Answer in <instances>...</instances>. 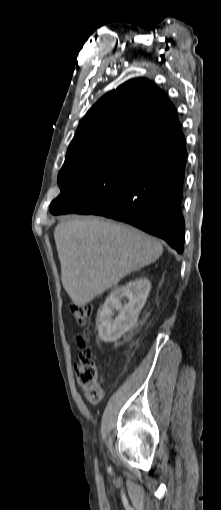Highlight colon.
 I'll return each instance as SVG.
<instances>
[{
	"label": "colon",
	"instance_id": "obj_1",
	"mask_svg": "<svg viewBox=\"0 0 221 510\" xmlns=\"http://www.w3.org/2000/svg\"><path fill=\"white\" fill-rule=\"evenodd\" d=\"M70 310L79 325H85L91 316L92 307L89 304L72 303ZM79 348L77 381L85 389V398L91 405H97L102 399V391L97 386V366L84 335L77 337Z\"/></svg>",
	"mask_w": 221,
	"mask_h": 510
}]
</instances>
